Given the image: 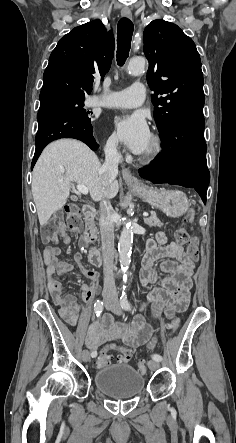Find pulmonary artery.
Returning a JSON list of instances; mask_svg holds the SVG:
<instances>
[{
  "label": "pulmonary artery",
  "instance_id": "1",
  "mask_svg": "<svg viewBox=\"0 0 236 443\" xmlns=\"http://www.w3.org/2000/svg\"><path fill=\"white\" fill-rule=\"evenodd\" d=\"M144 98L145 86L135 83L122 91L95 95L89 99L88 104L106 108H133L141 105Z\"/></svg>",
  "mask_w": 236,
  "mask_h": 443
}]
</instances>
